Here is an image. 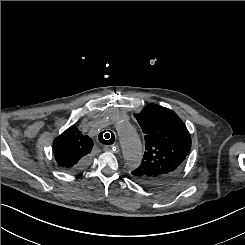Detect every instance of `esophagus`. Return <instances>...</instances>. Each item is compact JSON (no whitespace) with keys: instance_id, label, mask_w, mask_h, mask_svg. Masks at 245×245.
Instances as JSON below:
<instances>
[{"instance_id":"1","label":"esophagus","mask_w":245,"mask_h":245,"mask_svg":"<svg viewBox=\"0 0 245 245\" xmlns=\"http://www.w3.org/2000/svg\"><path fill=\"white\" fill-rule=\"evenodd\" d=\"M103 149H104V151H106V152H110V151H112V150L114 149V147H113L112 145H105V146L103 147Z\"/></svg>"}]
</instances>
